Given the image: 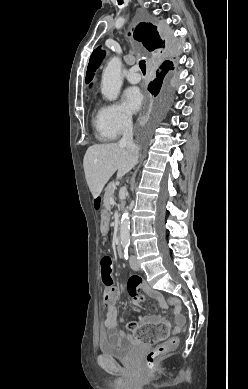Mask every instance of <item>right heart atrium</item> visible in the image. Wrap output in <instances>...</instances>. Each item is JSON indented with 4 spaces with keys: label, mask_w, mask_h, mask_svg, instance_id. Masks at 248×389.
Segmentation results:
<instances>
[{
    "label": "right heart atrium",
    "mask_w": 248,
    "mask_h": 389,
    "mask_svg": "<svg viewBox=\"0 0 248 389\" xmlns=\"http://www.w3.org/2000/svg\"><path fill=\"white\" fill-rule=\"evenodd\" d=\"M108 129L114 137L131 127L132 119L128 111L120 104H109L102 108Z\"/></svg>",
    "instance_id": "1"
}]
</instances>
